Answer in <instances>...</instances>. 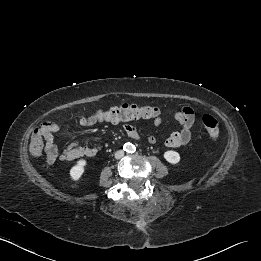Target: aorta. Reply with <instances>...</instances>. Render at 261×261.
Here are the masks:
<instances>
[{"mask_svg": "<svg viewBox=\"0 0 261 261\" xmlns=\"http://www.w3.org/2000/svg\"><path fill=\"white\" fill-rule=\"evenodd\" d=\"M135 146L132 143H126L124 145V150L128 153H133L135 151Z\"/></svg>", "mask_w": 261, "mask_h": 261, "instance_id": "1", "label": "aorta"}]
</instances>
